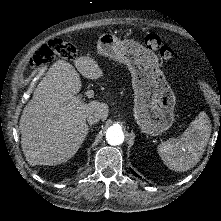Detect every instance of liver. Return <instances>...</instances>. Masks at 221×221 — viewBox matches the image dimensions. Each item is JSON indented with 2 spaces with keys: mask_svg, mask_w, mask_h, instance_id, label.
Returning a JSON list of instances; mask_svg holds the SVG:
<instances>
[{
  "mask_svg": "<svg viewBox=\"0 0 221 221\" xmlns=\"http://www.w3.org/2000/svg\"><path fill=\"white\" fill-rule=\"evenodd\" d=\"M75 65L57 60L22 110L19 121L21 146L32 166L67 161L75 155L87 135L86 116L98 112L102 120L107 118V104L97 101L80 104L74 97L81 90V75L95 79L101 76V70L87 58L79 59Z\"/></svg>",
  "mask_w": 221,
  "mask_h": 221,
  "instance_id": "liver-1",
  "label": "liver"
}]
</instances>
